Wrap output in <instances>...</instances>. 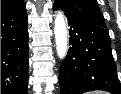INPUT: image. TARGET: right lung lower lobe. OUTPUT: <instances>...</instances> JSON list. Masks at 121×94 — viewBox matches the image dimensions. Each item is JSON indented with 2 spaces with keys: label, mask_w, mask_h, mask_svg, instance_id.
I'll return each mask as SVG.
<instances>
[{
  "label": "right lung lower lobe",
  "mask_w": 121,
  "mask_h": 94,
  "mask_svg": "<svg viewBox=\"0 0 121 94\" xmlns=\"http://www.w3.org/2000/svg\"><path fill=\"white\" fill-rule=\"evenodd\" d=\"M29 68L26 3L1 12V94H27Z\"/></svg>",
  "instance_id": "obj_1"
}]
</instances>
